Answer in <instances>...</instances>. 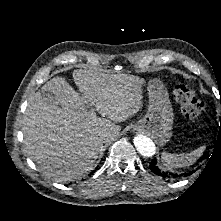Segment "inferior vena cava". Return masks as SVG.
<instances>
[{
    "instance_id": "602c4592",
    "label": "inferior vena cava",
    "mask_w": 221,
    "mask_h": 221,
    "mask_svg": "<svg viewBox=\"0 0 221 221\" xmlns=\"http://www.w3.org/2000/svg\"><path fill=\"white\" fill-rule=\"evenodd\" d=\"M102 136H103L105 139H111V140L113 139L112 135H111L110 133H107V132H106V133H103Z\"/></svg>"
}]
</instances>
